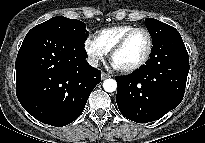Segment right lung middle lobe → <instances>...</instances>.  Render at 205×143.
I'll return each instance as SVG.
<instances>
[{"mask_svg": "<svg viewBox=\"0 0 205 143\" xmlns=\"http://www.w3.org/2000/svg\"><path fill=\"white\" fill-rule=\"evenodd\" d=\"M33 28L54 30L81 45H84L88 36V31L86 30V24L84 22L63 16L53 17Z\"/></svg>", "mask_w": 205, "mask_h": 143, "instance_id": "1", "label": "right lung middle lobe"}]
</instances>
